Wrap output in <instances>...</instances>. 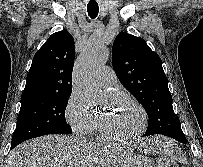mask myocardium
Returning <instances> with one entry per match:
<instances>
[{
  "instance_id": "myocardium-1",
  "label": "myocardium",
  "mask_w": 203,
  "mask_h": 167,
  "mask_svg": "<svg viewBox=\"0 0 203 167\" xmlns=\"http://www.w3.org/2000/svg\"><path fill=\"white\" fill-rule=\"evenodd\" d=\"M113 95L122 98L123 100H125L126 102H128L130 105H132L138 110L141 118L140 126L138 130L129 137H118L112 134L108 130L104 120L101 117H99V127H100L101 134L105 139L115 143L126 144V143L136 141L143 135L147 127L148 116H147L146 110L139 102H137L136 100H134L132 97H130L128 94L124 92L115 91L113 92Z\"/></svg>"
}]
</instances>
